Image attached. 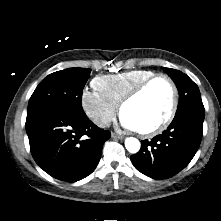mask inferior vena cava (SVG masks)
<instances>
[{
    "instance_id": "obj_1",
    "label": "inferior vena cava",
    "mask_w": 221,
    "mask_h": 221,
    "mask_svg": "<svg viewBox=\"0 0 221 221\" xmlns=\"http://www.w3.org/2000/svg\"><path fill=\"white\" fill-rule=\"evenodd\" d=\"M110 123L111 121L107 117H102L97 120V125L101 128L109 127Z\"/></svg>"
}]
</instances>
